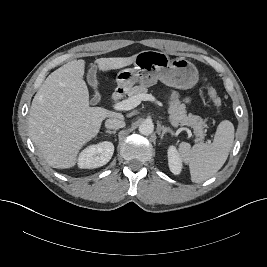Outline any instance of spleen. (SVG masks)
Listing matches in <instances>:
<instances>
[{
	"label": "spleen",
	"mask_w": 267,
	"mask_h": 267,
	"mask_svg": "<svg viewBox=\"0 0 267 267\" xmlns=\"http://www.w3.org/2000/svg\"><path fill=\"white\" fill-rule=\"evenodd\" d=\"M234 132L233 124L229 120H223L218 125L211 144L202 142L193 146L187 142L179 144V154L189 165L192 182H204L221 169L233 145Z\"/></svg>",
	"instance_id": "spleen-1"
}]
</instances>
